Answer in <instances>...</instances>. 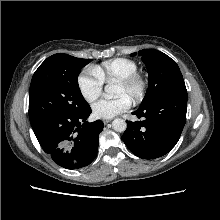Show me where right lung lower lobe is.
Here are the masks:
<instances>
[{
    "label": "right lung lower lobe",
    "instance_id": "obj_1",
    "mask_svg": "<svg viewBox=\"0 0 220 220\" xmlns=\"http://www.w3.org/2000/svg\"><path fill=\"white\" fill-rule=\"evenodd\" d=\"M90 106L77 114L49 117L32 126L42 147L61 167L78 169L89 165L98 151L101 120L89 123Z\"/></svg>",
    "mask_w": 220,
    "mask_h": 220
}]
</instances>
